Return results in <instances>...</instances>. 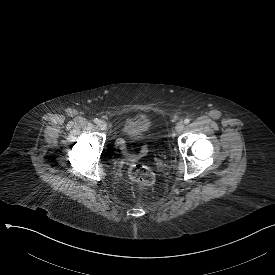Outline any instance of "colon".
I'll use <instances>...</instances> for the list:
<instances>
[{
    "mask_svg": "<svg viewBox=\"0 0 275 275\" xmlns=\"http://www.w3.org/2000/svg\"><path fill=\"white\" fill-rule=\"evenodd\" d=\"M128 177L136 182L141 189L150 188L155 180L153 172L142 165H131L128 170Z\"/></svg>",
    "mask_w": 275,
    "mask_h": 275,
    "instance_id": "obj_1",
    "label": "colon"
}]
</instances>
